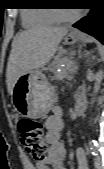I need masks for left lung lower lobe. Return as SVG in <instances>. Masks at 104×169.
I'll use <instances>...</instances> for the list:
<instances>
[{"mask_svg": "<svg viewBox=\"0 0 104 169\" xmlns=\"http://www.w3.org/2000/svg\"><path fill=\"white\" fill-rule=\"evenodd\" d=\"M81 31L88 33L104 42V11L100 8H92L89 14L73 25Z\"/></svg>", "mask_w": 104, "mask_h": 169, "instance_id": "1", "label": "left lung lower lobe"}]
</instances>
